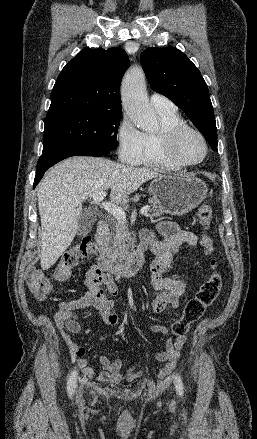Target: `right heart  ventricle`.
I'll use <instances>...</instances> for the list:
<instances>
[{"label": "right heart ventricle", "instance_id": "e07e8e85", "mask_svg": "<svg viewBox=\"0 0 257 439\" xmlns=\"http://www.w3.org/2000/svg\"><path fill=\"white\" fill-rule=\"evenodd\" d=\"M157 114L160 128L155 132L143 133V151L133 164L175 171L179 167L168 160L161 144V138L168 129L185 124V122L176 111L157 112Z\"/></svg>", "mask_w": 257, "mask_h": 439}]
</instances>
